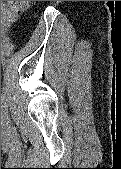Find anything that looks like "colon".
<instances>
[{"label": "colon", "mask_w": 121, "mask_h": 169, "mask_svg": "<svg viewBox=\"0 0 121 169\" xmlns=\"http://www.w3.org/2000/svg\"><path fill=\"white\" fill-rule=\"evenodd\" d=\"M6 3L14 14L25 11L30 5V1H7Z\"/></svg>", "instance_id": "colon-1"}]
</instances>
